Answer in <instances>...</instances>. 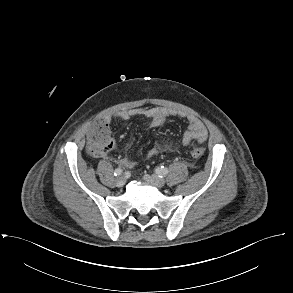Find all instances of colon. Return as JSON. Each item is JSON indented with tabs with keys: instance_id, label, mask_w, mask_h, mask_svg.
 Listing matches in <instances>:
<instances>
[{
	"instance_id": "colon-1",
	"label": "colon",
	"mask_w": 293,
	"mask_h": 293,
	"mask_svg": "<svg viewBox=\"0 0 293 293\" xmlns=\"http://www.w3.org/2000/svg\"><path fill=\"white\" fill-rule=\"evenodd\" d=\"M88 150L94 157L106 155L113 147V140L110 136L108 125L102 120H96L89 128ZM190 153L195 159H200L203 154V148L195 140L189 141Z\"/></svg>"
}]
</instances>
